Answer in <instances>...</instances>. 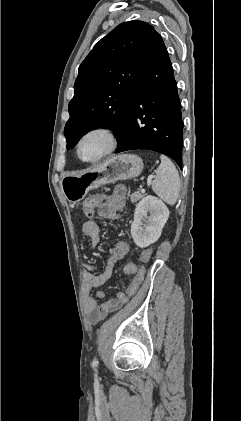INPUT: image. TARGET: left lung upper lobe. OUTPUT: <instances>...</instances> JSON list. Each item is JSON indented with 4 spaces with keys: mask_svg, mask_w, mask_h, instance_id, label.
<instances>
[{
    "mask_svg": "<svg viewBox=\"0 0 241 421\" xmlns=\"http://www.w3.org/2000/svg\"><path fill=\"white\" fill-rule=\"evenodd\" d=\"M159 34L143 21L118 25L79 66L70 118L64 129L67 149L88 131L104 127L125 133L137 83Z\"/></svg>",
    "mask_w": 241,
    "mask_h": 421,
    "instance_id": "left-lung-upper-lobe-1",
    "label": "left lung upper lobe"
}]
</instances>
